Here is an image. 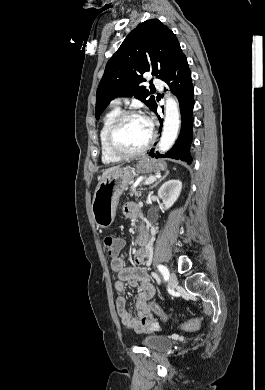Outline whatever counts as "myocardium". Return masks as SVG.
Returning a JSON list of instances; mask_svg holds the SVG:
<instances>
[{"mask_svg":"<svg viewBox=\"0 0 265 390\" xmlns=\"http://www.w3.org/2000/svg\"><path fill=\"white\" fill-rule=\"evenodd\" d=\"M130 117L143 118V116L141 114H139L138 112L133 111V110L121 111L117 115V117L115 118L113 123L111 124V126L108 130V133H107V145H108L109 150L114 155H116L117 157H119L121 159L133 158V157H137V156L144 154L150 148V146L152 145V143L155 139V134L150 129L149 139L143 147H141L140 149H138L136 151H125V150L121 149L116 142V134H117V131H118L119 127L121 126V124L127 118H130Z\"/></svg>","mask_w":265,"mask_h":390,"instance_id":"obj_1","label":"myocardium"}]
</instances>
